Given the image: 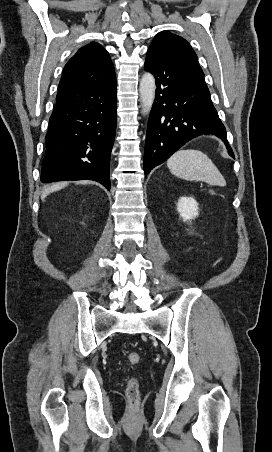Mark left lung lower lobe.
Segmentation results:
<instances>
[{"mask_svg":"<svg viewBox=\"0 0 272 452\" xmlns=\"http://www.w3.org/2000/svg\"><path fill=\"white\" fill-rule=\"evenodd\" d=\"M144 68L154 75L157 86L146 133L145 175L203 134L221 138L234 158L204 74L155 50H148Z\"/></svg>","mask_w":272,"mask_h":452,"instance_id":"1","label":"left lung lower lobe"}]
</instances>
